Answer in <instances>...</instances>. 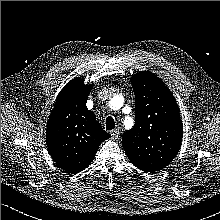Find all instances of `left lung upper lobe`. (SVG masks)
I'll return each instance as SVG.
<instances>
[{"label": "left lung upper lobe", "mask_w": 220, "mask_h": 220, "mask_svg": "<svg viewBox=\"0 0 220 220\" xmlns=\"http://www.w3.org/2000/svg\"><path fill=\"white\" fill-rule=\"evenodd\" d=\"M135 95V125L122 138L125 152L137 168L157 173L174 159L181 146L183 124L176 100L154 73L131 79Z\"/></svg>", "instance_id": "left-lung-upper-lobe-1"}]
</instances>
